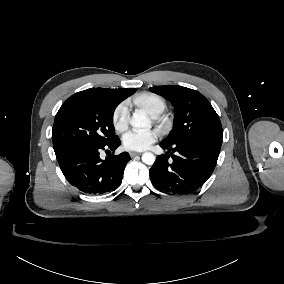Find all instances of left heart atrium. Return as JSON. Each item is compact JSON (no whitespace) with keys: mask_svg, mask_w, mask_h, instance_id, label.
Segmentation results:
<instances>
[{"mask_svg":"<svg viewBox=\"0 0 284 284\" xmlns=\"http://www.w3.org/2000/svg\"><path fill=\"white\" fill-rule=\"evenodd\" d=\"M155 130L129 129L122 136L123 145L130 150H143L158 139Z\"/></svg>","mask_w":284,"mask_h":284,"instance_id":"left-heart-atrium-1","label":"left heart atrium"}]
</instances>
